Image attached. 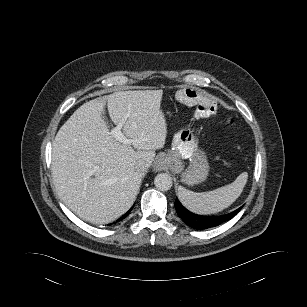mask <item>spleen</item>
<instances>
[{"label":"spleen","instance_id":"1","mask_svg":"<svg viewBox=\"0 0 307 307\" xmlns=\"http://www.w3.org/2000/svg\"><path fill=\"white\" fill-rule=\"evenodd\" d=\"M247 178L248 174L243 172L231 184L202 193L179 187L178 197L183 206L195 214H214L229 207L240 196Z\"/></svg>","mask_w":307,"mask_h":307}]
</instances>
